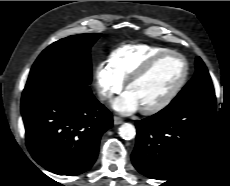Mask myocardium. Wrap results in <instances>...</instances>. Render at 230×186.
Segmentation results:
<instances>
[{
    "mask_svg": "<svg viewBox=\"0 0 230 186\" xmlns=\"http://www.w3.org/2000/svg\"><path fill=\"white\" fill-rule=\"evenodd\" d=\"M168 56H176L180 58L184 63V72L179 80V82L169 91V93L164 96L163 99L158 101L157 103L146 107L141 108L142 113L150 115L155 114L164 108H166L179 94V92L182 90L184 85L186 84L188 77H189V63L187 59L180 53L173 51V50H167L161 53H158L148 59L139 69H137L127 80L125 84V88L128 90L129 86L132 85L134 82L138 81L139 79L143 78L145 75H147L150 70L154 67V65L159 62L161 59L168 57Z\"/></svg>",
    "mask_w": 230,
    "mask_h": 186,
    "instance_id": "obj_1",
    "label": "myocardium"
}]
</instances>
